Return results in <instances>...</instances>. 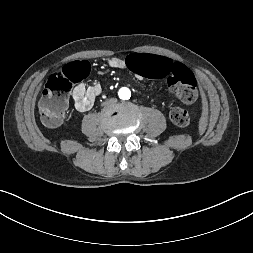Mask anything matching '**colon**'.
I'll use <instances>...</instances> for the list:
<instances>
[{
	"label": "colon",
	"mask_w": 253,
	"mask_h": 253,
	"mask_svg": "<svg viewBox=\"0 0 253 253\" xmlns=\"http://www.w3.org/2000/svg\"><path fill=\"white\" fill-rule=\"evenodd\" d=\"M126 67L138 77L165 78L171 90L185 103H192L197 98V82L192 72L167 55L133 52L126 60ZM88 73L87 62H75L48 79L39 102L41 119L46 126L54 127L61 123L68 108L71 89ZM170 116L177 126L185 127L191 122L192 112L176 107L171 110Z\"/></svg>",
	"instance_id": "colon-1"
}]
</instances>
